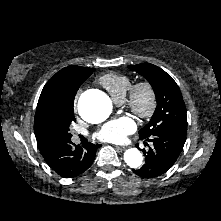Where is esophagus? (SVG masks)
I'll use <instances>...</instances> for the list:
<instances>
[{
	"label": "esophagus",
	"mask_w": 221,
	"mask_h": 221,
	"mask_svg": "<svg viewBox=\"0 0 221 221\" xmlns=\"http://www.w3.org/2000/svg\"><path fill=\"white\" fill-rule=\"evenodd\" d=\"M117 149L119 150H125V147L124 146H115Z\"/></svg>",
	"instance_id": "1"
}]
</instances>
